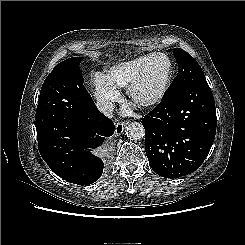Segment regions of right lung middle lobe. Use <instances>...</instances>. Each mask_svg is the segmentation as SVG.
<instances>
[{
    "label": "right lung middle lobe",
    "instance_id": "obj_1",
    "mask_svg": "<svg viewBox=\"0 0 245 245\" xmlns=\"http://www.w3.org/2000/svg\"><path fill=\"white\" fill-rule=\"evenodd\" d=\"M83 57L57 64L45 79L37 105L36 118H80L87 116L93 100L87 92L79 65Z\"/></svg>",
    "mask_w": 245,
    "mask_h": 245
}]
</instances>
